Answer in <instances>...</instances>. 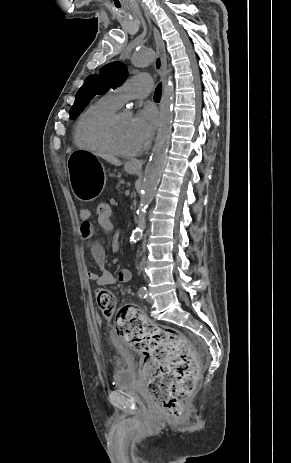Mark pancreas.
<instances>
[{
  "mask_svg": "<svg viewBox=\"0 0 291 463\" xmlns=\"http://www.w3.org/2000/svg\"><path fill=\"white\" fill-rule=\"evenodd\" d=\"M123 184H124V181H123V180H119V181L117 182V184H115L114 186H112V190L115 192V194H116L117 196L123 195V193H124Z\"/></svg>",
  "mask_w": 291,
  "mask_h": 463,
  "instance_id": "obj_1",
  "label": "pancreas"
}]
</instances>
